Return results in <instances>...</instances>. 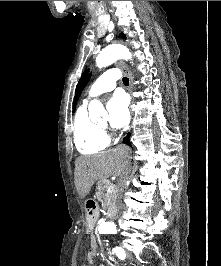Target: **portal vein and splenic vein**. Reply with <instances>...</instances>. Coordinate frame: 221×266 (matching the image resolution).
I'll list each match as a JSON object with an SVG mask.
<instances>
[{"label":"portal vein and splenic vein","instance_id":"obj_1","mask_svg":"<svg viewBox=\"0 0 221 266\" xmlns=\"http://www.w3.org/2000/svg\"><path fill=\"white\" fill-rule=\"evenodd\" d=\"M115 189V185L111 184L108 189H107V192H112L113 190Z\"/></svg>","mask_w":221,"mask_h":266}]
</instances>
